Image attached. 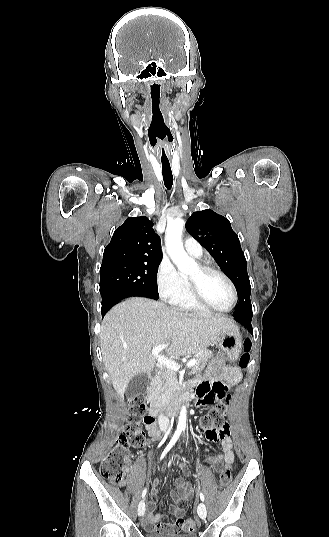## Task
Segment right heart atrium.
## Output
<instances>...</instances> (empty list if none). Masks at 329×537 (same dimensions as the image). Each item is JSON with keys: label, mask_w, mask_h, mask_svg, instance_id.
Returning a JSON list of instances; mask_svg holds the SVG:
<instances>
[{"label": "right heart atrium", "mask_w": 329, "mask_h": 537, "mask_svg": "<svg viewBox=\"0 0 329 537\" xmlns=\"http://www.w3.org/2000/svg\"><path fill=\"white\" fill-rule=\"evenodd\" d=\"M186 281L168 258H163L156 271V286L163 300L173 302L186 289Z\"/></svg>", "instance_id": "1"}]
</instances>
